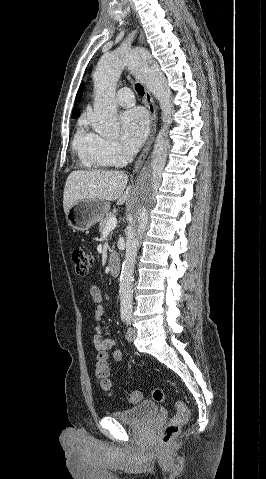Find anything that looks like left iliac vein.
I'll list each match as a JSON object with an SVG mask.
<instances>
[{
  "label": "left iliac vein",
  "mask_w": 266,
  "mask_h": 479,
  "mask_svg": "<svg viewBox=\"0 0 266 479\" xmlns=\"http://www.w3.org/2000/svg\"><path fill=\"white\" fill-rule=\"evenodd\" d=\"M137 330L133 327H129L126 332V339L128 342H133L136 338Z\"/></svg>",
  "instance_id": "1"
}]
</instances>
